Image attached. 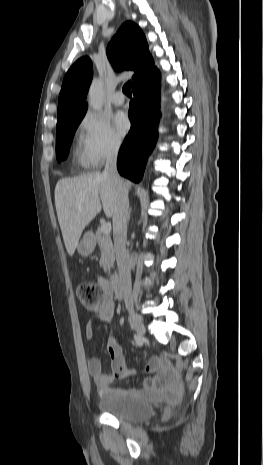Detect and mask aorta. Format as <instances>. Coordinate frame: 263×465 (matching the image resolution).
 I'll return each instance as SVG.
<instances>
[{"instance_id": "762f6f07", "label": "aorta", "mask_w": 263, "mask_h": 465, "mask_svg": "<svg viewBox=\"0 0 263 465\" xmlns=\"http://www.w3.org/2000/svg\"><path fill=\"white\" fill-rule=\"evenodd\" d=\"M103 100V84L100 79H94L90 85L88 103L95 111H100L102 109Z\"/></svg>"}]
</instances>
